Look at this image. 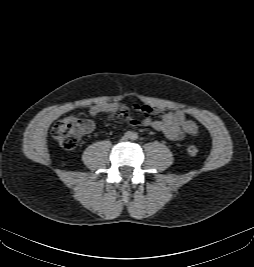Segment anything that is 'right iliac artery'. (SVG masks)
<instances>
[{"label": "right iliac artery", "mask_w": 254, "mask_h": 267, "mask_svg": "<svg viewBox=\"0 0 254 267\" xmlns=\"http://www.w3.org/2000/svg\"><path fill=\"white\" fill-rule=\"evenodd\" d=\"M125 136L129 138L131 136V132L125 133Z\"/></svg>", "instance_id": "obj_1"}]
</instances>
